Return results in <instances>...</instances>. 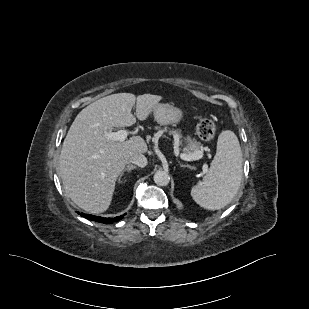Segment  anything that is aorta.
Masks as SVG:
<instances>
[{
  "label": "aorta",
  "instance_id": "1",
  "mask_svg": "<svg viewBox=\"0 0 309 309\" xmlns=\"http://www.w3.org/2000/svg\"><path fill=\"white\" fill-rule=\"evenodd\" d=\"M170 180L169 174L166 171L159 170L154 174V182L158 186H166L168 185Z\"/></svg>",
  "mask_w": 309,
  "mask_h": 309
}]
</instances>
